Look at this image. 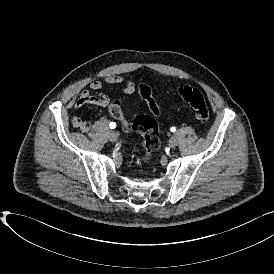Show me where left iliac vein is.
<instances>
[{
  "label": "left iliac vein",
  "mask_w": 274,
  "mask_h": 274,
  "mask_svg": "<svg viewBox=\"0 0 274 274\" xmlns=\"http://www.w3.org/2000/svg\"><path fill=\"white\" fill-rule=\"evenodd\" d=\"M177 144H178V141H177V138H176V137H171V138L169 139V146H170L171 148H175V147L177 146Z\"/></svg>",
  "instance_id": "1"
}]
</instances>
